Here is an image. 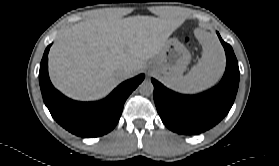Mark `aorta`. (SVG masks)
Returning a JSON list of instances; mask_svg holds the SVG:
<instances>
[{
    "instance_id": "obj_1",
    "label": "aorta",
    "mask_w": 279,
    "mask_h": 166,
    "mask_svg": "<svg viewBox=\"0 0 279 166\" xmlns=\"http://www.w3.org/2000/svg\"><path fill=\"white\" fill-rule=\"evenodd\" d=\"M139 92L142 95H151L153 93L154 87L151 81L149 80H144L138 87Z\"/></svg>"
}]
</instances>
